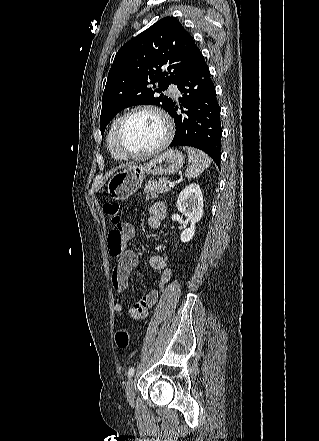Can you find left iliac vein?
Segmentation results:
<instances>
[{
    "mask_svg": "<svg viewBox=\"0 0 319 441\" xmlns=\"http://www.w3.org/2000/svg\"><path fill=\"white\" fill-rule=\"evenodd\" d=\"M126 397L131 406L135 404V383L134 380L131 379L126 386Z\"/></svg>",
    "mask_w": 319,
    "mask_h": 441,
    "instance_id": "1",
    "label": "left iliac vein"
}]
</instances>
